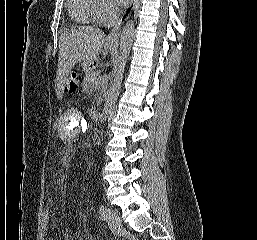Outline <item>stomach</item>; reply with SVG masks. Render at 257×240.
Masks as SVG:
<instances>
[{"label": "stomach", "mask_w": 257, "mask_h": 240, "mask_svg": "<svg viewBox=\"0 0 257 240\" xmlns=\"http://www.w3.org/2000/svg\"><path fill=\"white\" fill-rule=\"evenodd\" d=\"M107 48H108L109 51H114L115 50V45L114 44H108ZM91 65H92V63L84 62L82 64L84 71H86V72L92 71L91 70Z\"/></svg>", "instance_id": "1"}]
</instances>
